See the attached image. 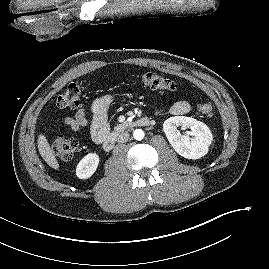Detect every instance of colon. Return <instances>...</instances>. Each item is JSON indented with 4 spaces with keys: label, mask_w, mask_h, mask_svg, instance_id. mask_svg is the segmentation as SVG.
<instances>
[{
    "label": "colon",
    "mask_w": 269,
    "mask_h": 269,
    "mask_svg": "<svg viewBox=\"0 0 269 269\" xmlns=\"http://www.w3.org/2000/svg\"><path fill=\"white\" fill-rule=\"evenodd\" d=\"M142 82L149 88L162 91H174L177 85L174 81L155 72H146L141 76ZM82 85L80 82L70 83L59 95L57 105L61 109H75L80 104ZM200 116L210 118L213 116L214 108L210 102H203L197 106ZM51 148L53 153L61 160H71L78 149V142L74 138L65 136L56 137Z\"/></svg>",
    "instance_id": "1"
}]
</instances>
